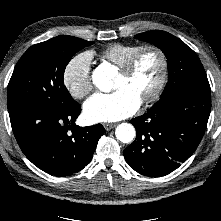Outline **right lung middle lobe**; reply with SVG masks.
<instances>
[{
  "mask_svg": "<svg viewBox=\"0 0 221 221\" xmlns=\"http://www.w3.org/2000/svg\"><path fill=\"white\" fill-rule=\"evenodd\" d=\"M93 43L60 35L31 46L16 64L9 81L8 110L31 103L49 108L75 104L64 85V71L76 52Z\"/></svg>",
  "mask_w": 221,
  "mask_h": 221,
  "instance_id": "1",
  "label": "right lung middle lobe"
}]
</instances>
